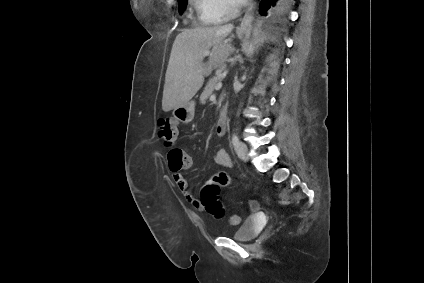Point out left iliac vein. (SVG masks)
Segmentation results:
<instances>
[{"instance_id":"left-iliac-vein-1","label":"left iliac vein","mask_w":424,"mask_h":283,"mask_svg":"<svg viewBox=\"0 0 424 283\" xmlns=\"http://www.w3.org/2000/svg\"><path fill=\"white\" fill-rule=\"evenodd\" d=\"M236 152L241 160L246 161L248 159V148L244 143H239Z\"/></svg>"}]
</instances>
